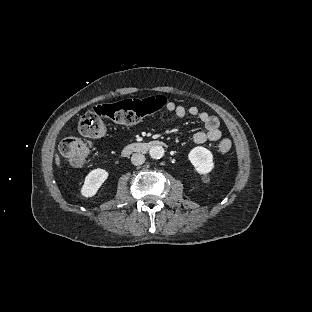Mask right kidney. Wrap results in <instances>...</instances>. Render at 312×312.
Returning a JSON list of instances; mask_svg holds the SVG:
<instances>
[{"label": "right kidney", "instance_id": "1", "mask_svg": "<svg viewBox=\"0 0 312 312\" xmlns=\"http://www.w3.org/2000/svg\"><path fill=\"white\" fill-rule=\"evenodd\" d=\"M108 172L104 169H94L85 178L84 185L81 189V194L84 197L94 196L103 182L107 179Z\"/></svg>", "mask_w": 312, "mask_h": 312}]
</instances>
